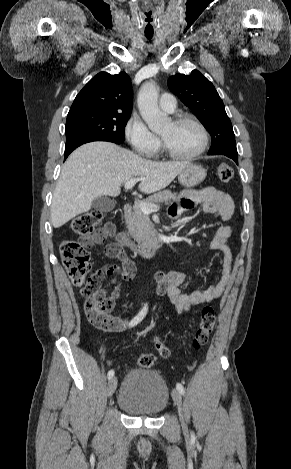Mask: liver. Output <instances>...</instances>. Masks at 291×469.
<instances>
[{
  "instance_id": "6515ba94",
  "label": "liver",
  "mask_w": 291,
  "mask_h": 469,
  "mask_svg": "<svg viewBox=\"0 0 291 469\" xmlns=\"http://www.w3.org/2000/svg\"><path fill=\"white\" fill-rule=\"evenodd\" d=\"M191 163L157 162L109 142H91L76 149L66 160L51 204V223L59 228L87 212L94 199L116 197L130 179H141L139 190L150 194L167 187Z\"/></svg>"
}]
</instances>
